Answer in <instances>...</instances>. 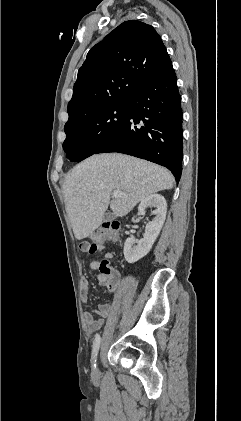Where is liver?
I'll list each match as a JSON object with an SVG mask.
<instances>
[{"label": "liver", "instance_id": "liver-1", "mask_svg": "<svg viewBox=\"0 0 241 421\" xmlns=\"http://www.w3.org/2000/svg\"><path fill=\"white\" fill-rule=\"evenodd\" d=\"M173 182L167 169L132 156L107 153L85 159L67 174L63 185L75 238L92 234L109 205L115 216L123 217L146 197L172 189ZM114 191L122 196L110 201Z\"/></svg>", "mask_w": 241, "mask_h": 421}]
</instances>
